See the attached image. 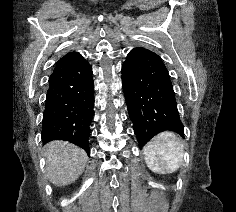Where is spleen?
I'll return each instance as SVG.
<instances>
[{
	"label": "spleen",
	"mask_w": 236,
	"mask_h": 212,
	"mask_svg": "<svg viewBox=\"0 0 236 212\" xmlns=\"http://www.w3.org/2000/svg\"><path fill=\"white\" fill-rule=\"evenodd\" d=\"M182 141L172 132H162L145 147V162L150 170L159 174L173 173L182 165Z\"/></svg>",
	"instance_id": "spleen-1"
}]
</instances>
